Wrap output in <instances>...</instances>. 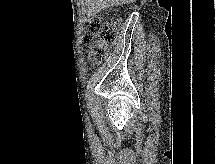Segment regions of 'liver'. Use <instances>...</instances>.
Returning a JSON list of instances; mask_svg holds the SVG:
<instances>
[{"instance_id": "liver-1", "label": "liver", "mask_w": 216, "mask_h": 164, "mask_svg": "<svg viewBox=\"0 0 216 164\" xmlns=\"http://www.w3.org/2000/svg\"><path fill=\"white\" fill-rule=\"evenodd\" d=\"M136 0H89L91 5V10L89 11V15H95L101 10L107 9L111 6H120L124 4H130L135 2Z\"/></svg>"}]
</instances>
